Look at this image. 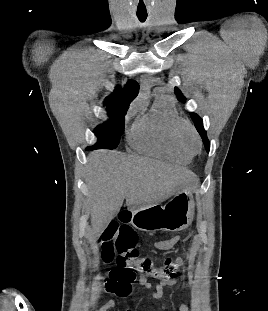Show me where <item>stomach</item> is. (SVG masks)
<instances>
[{"label":"stomach","mask_w":268,"mask_h":311,"mask_svg":"<svg viewBox=\"0 0 268 311\" xmlns=\"http://www.w3.org/2000/svg\"><path fill=\"white\" fill-rule=\"evenodd\" d=\"M131 211L130 223L138 230L179 232L193 220V195L188 189H182L164 207L156 204Z\"/></svg>","instance_id":"stomach-1"}]
</instances>
